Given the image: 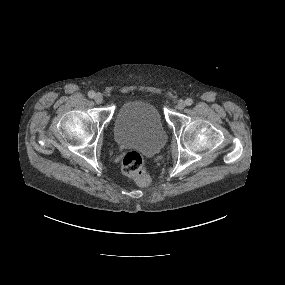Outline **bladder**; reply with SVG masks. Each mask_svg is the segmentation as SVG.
Returning a JSON list of instances; mask_svg holds the SVG:
<instances>
[{"instance_id":"bladder-1","label":"bladder","mask_w":285,"mask_h":285,"mask_svg":"<svg viewBox=\"0 0 285 285\" xmlns=\"http://www.w3.org/2000/svg\"><path fill=\"white\" fill-rule=\"evenodd\" d=\"M117 144L152 155L166 143L161 117L154 105L141 100L126 102L119 109L114 126Z\"/></svg>"}]
</instances>
